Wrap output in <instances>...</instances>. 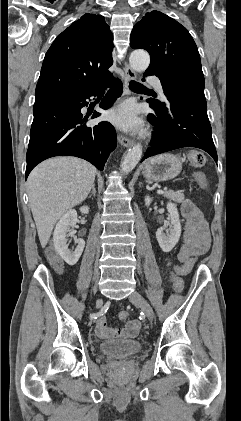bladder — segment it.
<instances>
[{"label": "bladder", "instance_id": "obj_1", "mask_svg": "<svg viewBox=\"0 0 241 421\" xmlns=\"http://www.w3.org/2000/svg\"><path fill=\"white\" fill-rule=\"evenodd\" d=\"M99 350L107 357L124 360L140 353L142 345L136 340H111L102 342Z\"/></svg>", "mask_w": 241, "mask_h": 421}]
</instances>
